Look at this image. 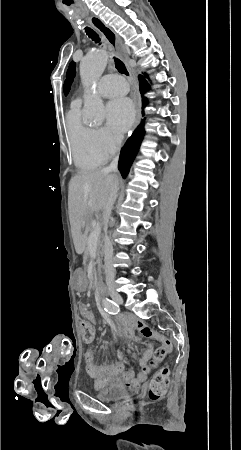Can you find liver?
Wrapping results in <instances>:
<instances>
[{"label": "liver", "mask_w": 241, "mask_h": 450, "mask_svg": "<svg viewBox=\"0 0 241 450\" xmlns=\"http://www.w3.org/2000/svg\"><path fill=\"white\" fill-rule=\"evenodd\" d=\"M117 184L116 176L104 170L78 172L70 180L69 212L73 242L77 254L84 252L87 234L85 226L91 222V214L103 210L104 224L109 216L105 206L110 200L112 188Z\"/></svg>", "instance_id": "1"}]
</instances>
